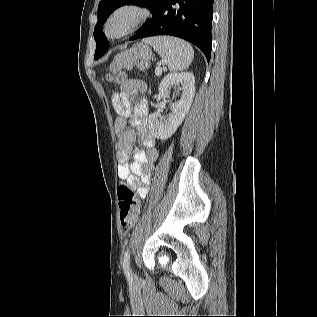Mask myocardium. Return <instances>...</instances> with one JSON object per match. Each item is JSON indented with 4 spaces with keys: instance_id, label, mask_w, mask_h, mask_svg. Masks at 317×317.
Listing matches in <instances>:
<instances>
[{
    "instance_id": "obj_1",
    "label": "myocardium",
    "mask_w": 317,
    "mask_h": 317,
    "mask_svg": "<svg viewBox=\"0 0 317 317\" xmlns=\"http://www.w3.org/2000/svg\"><path fill=\"white\" fill-rule=\"evenodd\" d=\"M121 16H127V23L123 29L112 34L110 27ZM148 17L149 11L137 3L127 2L120 4L108 14L103 26L104 35L109 40L126 37L138 30L146 22Z\"/></svg>"
}]
</instances>
